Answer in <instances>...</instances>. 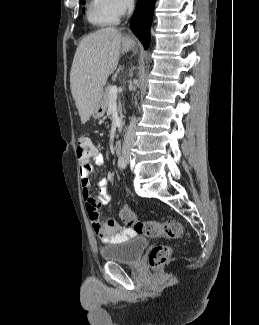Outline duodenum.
<instances>
[{
  "label": "duodenum",
  "instance_id": "obj_1",
  "mask_svg": "<svg viewBox=\"0 0 259 325\" xmlns=\"http://www.w3.org/2000/svg\"><path fill=\"white\" fill-rule=\"evenodd\" d=\"M122 149H123V142L122 140H118L115 142V145H114V150L117 154H120L122 152Z\"/></svg>",
  "mask_w": 259,
  "mask_h": 325
}]
</instances>
